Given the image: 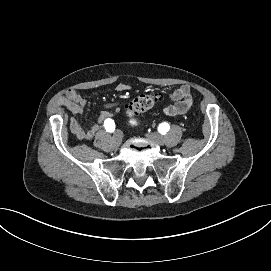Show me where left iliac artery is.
<instances>
[{
  "label": "left iliac artery",
  "mask_w": 271,
  "mask_h": 271,
  "mask_svg": "<svg viewBox=\"0 0 271 271\" xmlns=\"http://www.w3.org/2000/svg\"><path fill=\"white\" fill-rule=\"evenodd\" d=\"M157 129L160 133L165 134L169 131L170 126L167 122L162 121L158 124Z\"/></svg>",
  "instance_id": "left-iliac-artery-1"
}]
</instances>
